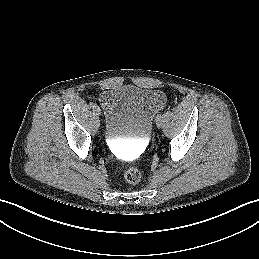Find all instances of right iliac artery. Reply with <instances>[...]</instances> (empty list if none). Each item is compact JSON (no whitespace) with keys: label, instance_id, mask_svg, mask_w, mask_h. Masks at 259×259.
I'll list each match as a JSON object with an SVG mask.
<instances>
[{"label":"right iliac artery","instance_id":"82829eb1","mask_svg":"<svg viewBox=\"0 0 259 259\" xmlns=\"http://www.w3.org/2000/svg\"><path fill=\"white\" fill-rule=\"evenodd\" d=\"M91 107H95L92 103L90 104Z\"/></svg>","mask_w":259,"mask_h":259}]
</instances>
